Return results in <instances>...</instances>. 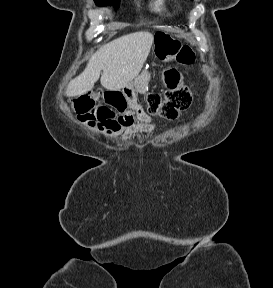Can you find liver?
<instances>
[{
	"label": "liver",
	"mask_w": 273,
	"mask_h": 288,
	"mask_svg": "<svg viewBox=\"0 0 273 288\" xmlns=\"http://www.w3.org/2000/svg\"><path fill=\"white\" fill-rule=\"evenodd\" d=\"M154 36L140 31L124 35L103 45L88 61L85 70L71 80L65 95L75 97L93 89L101 76V85L107 90L118 91L135 79L145 63Z\"/></svg>",
	"instance_id": "1"
}]
</instances>
